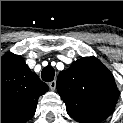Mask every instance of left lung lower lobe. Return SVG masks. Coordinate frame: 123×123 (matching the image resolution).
Returning a JSON list of instances; mask_svg holds the SVG:
<instances>
[{
  "instance_id": "0a47b994",
  "label": "left lung lower lobe",
  "mask_w": 123,
  "mask_h": 123,
  "mask_svg": "<svg viewBox=\"0 0 123 123\" xmlns=\"http://www.w3.org/2000/svg\"><path fill=\"white\" fill-rule=\"evenodd\" d=\"M81 123H94V122H91V121H87V120H82L80 121Z\"/></svg>"
}]
</instances>
